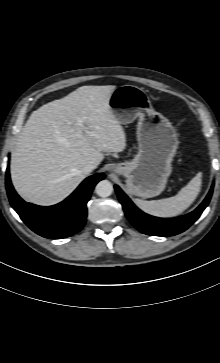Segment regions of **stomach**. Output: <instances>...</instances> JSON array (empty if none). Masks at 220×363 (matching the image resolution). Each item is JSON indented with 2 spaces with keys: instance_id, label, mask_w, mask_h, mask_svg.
Wrapping results in <instances>:
<instances>
[{
  "instance_id": "0dacf381",
  "label": "stomach",
  "mask_w": 220,
  "mask_h": 363,
  "mask_svg": "<svg viewBox=\"0 0 220 363\" xmlns=\"http://www.w3.org/2000/svg\"><path fill=\"white\" fill-rule=\"evenodd\" d=\"M109 106L120 124L138 119V153L133 160L116 164L113 171L126 177L131 194L142 198L159 195L172 172L179 144L174 127L153 109L149 96L137 86L117 87L110 95Z\"/></svg>"
}]
</instances>
